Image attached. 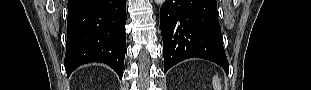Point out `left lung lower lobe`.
Wrapping results in <instances>:
<instances>
[{
  "instance_id": "obj_1",
  "label": "left lung lower lobe",
  "mask_w": 311,
  "mask_h": 90,
  "mask_svg": "<svg viewBox=\"0 0 311 90\" xmlns=\"http://www.w3.org/2000/svg\"><path fill=\"white\" fill-rule=\"evenodd\" d=\"M164 71L197 57L229 72L223 48L216 0H166L160 10Z\"/></svg>"
}]
</instances>
